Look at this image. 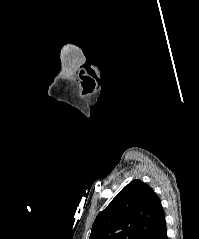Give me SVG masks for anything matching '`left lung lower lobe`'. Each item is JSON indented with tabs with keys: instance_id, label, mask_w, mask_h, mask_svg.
<instances>
[{
	"instance_id": "left-lung-lower-lobe-1",
	"label": "left lung lower lobe",
	"mask_w": 199,
	"mask_h": 239,
	"mask_svg": "<svg viewBox=\"0 0 199 239\" xmlns=\"http://www.w3.org/2000/svg\"><path fill=\"white\" fill-rule=\"evenodd\" d=\"M148 239H168L164 212L157 220Z\"/></svg>"
}]
</instances>
